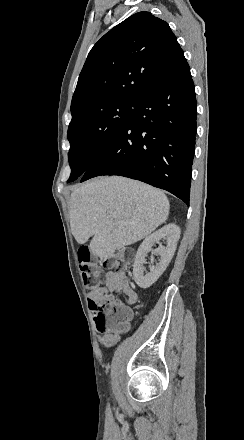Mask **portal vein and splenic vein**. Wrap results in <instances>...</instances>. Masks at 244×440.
<instances>
[{
  "label": "portal vein and splenic vein",
  "instance_id": "obj_1",
  "mask_svg": "<svg viewBox=\"0 0 244 440\" xmlns=\"http://www.w3.org/2000/svg\"><path fill=\"white\" fill-rule=\"evenodd\" d=\"M115 224H117V226H120V224H124V222H122V220H115Z\"/></svg>",
  "mask_w": 244,
  "mask_h": 440
}]
</instances>
